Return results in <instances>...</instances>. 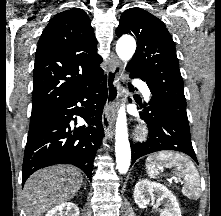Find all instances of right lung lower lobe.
I'll return each instance as SVG.
<instances>
[{"mask_svg": "<svg viewBox=\"0 0 221 216\" xmlns=\"http://www.w3.org/2000/svg\"><path fill=\"white\" fill-rule=\"evenodd\" d=\"M106 99L107 82L101 77L81 93L47 111L40 126L28 134L22 185L38 169L64 163L82 169L91 180L93 160L103 138L101 117ZM78 102L84 108H79ZM73 115L82 117L86 125L71 129Z\"/></svg>", "mask_w": 221, "mask_h": 216, "instance_id": "98d812e1", "label": "right lung lower lobe"}]
</instances>
